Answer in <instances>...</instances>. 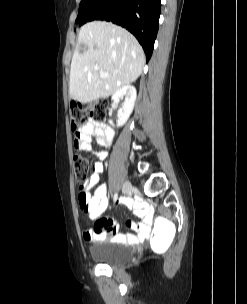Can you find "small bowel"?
Returning a JSON list of instances; mask_svg holds the SVG:
<instances>
[{"instance_id":"small-bowel-1","label":"small bowel","mask_w":247,"mask_h":304,"mask_svg":"<svg viewBox=\"0 0 247 304\" xmlns=\"http://www.w3.org/2000/svg\"><path fill=\"white\" fill-rule=\"evenodd\" d=\"M113 138L112 129L96 121H90L83 126L78 135H75L79 149L92 151V142L100 146L109 147ZM99 159L93 165V172L85 181L83 196L79 194V205L90 220L99 219L108 209L110 199L107 195V186L100 183V177L104 169L103 161L107 158L108 152L100 150L95 152ZM96 187L94 192L93 188ZM134 212L142 217V222L128 221L127 226L136 234H120L119 224L110 218H103L96 222L92 230L84 233V239L88 242H97L105 239H112L115 242L140 243L148 239L153 220L151 209L142 202L134 204Z\"/></svg>"}]
</instances>
